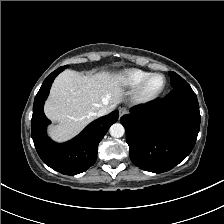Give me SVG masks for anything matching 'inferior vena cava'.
<instances>
[{
  "label": "inferior vena cava",
  "mask_w": 224,
  "mask_h": 224,
  "mask_svg": "<svg viewBox=\"0 0 224 224\" xmlns=\"http://www.w3.org/2000/svg\"><path fill=\"white\" fill-rule=\"evenodd\" d=\"M109 113V110H108V108H106V107H102L98 112H97V116H104V115H106V114H108Z\"/></svg>",
  "instance_id": "1"
}]
</instances>
